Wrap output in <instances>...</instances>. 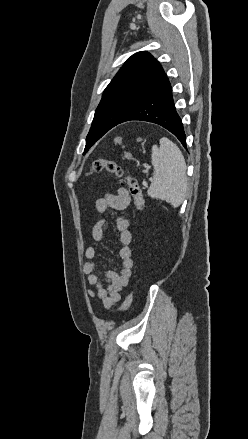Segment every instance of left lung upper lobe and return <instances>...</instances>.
I'll list each match as a JSON object with an SVG mask.
<instances>
[{
	"instance_id": "obj_1",
	"label": "left lung upper lobe",
	"mask_w": 248,
	"mask_h": 439,
	"mask_svg": "<svg viewBox=\"0 0 248 439\" xmlns=\"http://www.w3.org/2000/svg\"><path fill=\"white\" fill-rule=\"evenodd\" d=\"M164 74L148 52L132 55L104 90L86 137L84 154L107 131L116 126Z\"/></svg>"
}]
</instances>
